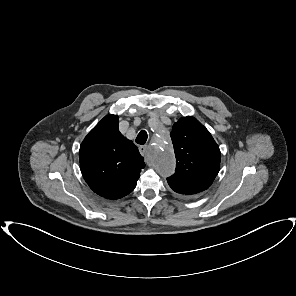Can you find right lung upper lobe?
<instances>
[{
  "instance_id": "1",
  "label": "right lung upper lobe",
  "mask_w": 296,
  "mask_h": 296,
  "mask_svg": "<svg viewBox=\"0 0 296 296\" xmlns=\"http://www.w3.org/2000/svg\"><path fill=\"white\" fill-rule=\"evenodd\" d=\"M80 169L89 187L107 199H119L136 187L144 159L118 129V116H105L85 137Z\"/></svg>"
}]
</instances>
